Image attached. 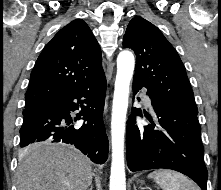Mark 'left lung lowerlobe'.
<instances>
[{
	"label": "left lung lower lobe",
	"mask_w": 221,
	"mask_h": 190,
	"mask_svg": "<svg viewBox=\"0 0 221 190\" xmlns=\"http://www.w3.org/2000/svg\"><path fill=\"white\" fill-rule=\"evenodd\" d=\"M146 87L133 79V93ZM158 118L155 124L147 112L144 115L151 125H140L136 115L140 108H133L127 122V165L132 172L166 168L181 172L194 180L202 190H207L208 172L204 163V147L197 115L184 112L166 104L160 97L147 91Z\"/></svg>",
	"instance_id": "1"
}]
</instances>
